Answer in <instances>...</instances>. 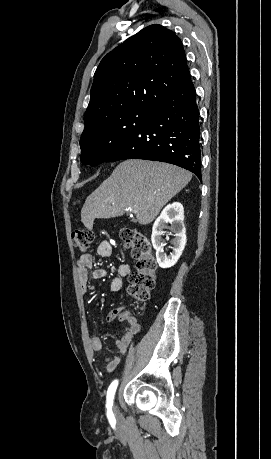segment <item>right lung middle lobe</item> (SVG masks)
Here are the masks:
<instances>
[{
	"instance_id": "1",
	"label": "right lung middle lobe",
	"mask_w": 271,
	"mask_h": 459,
	"mask_svg": "<svg viewBox=\"0 0 271 459\" xmlns=\"http://www.w3.org/2000/svg\"><path fill=\"white\" fill-rule=\"evenodd\" d=\"M155 109L150 105H139L86 122L80 139L81 162L91 166L105 162Z\"/></svg>"
}]
</instances>
